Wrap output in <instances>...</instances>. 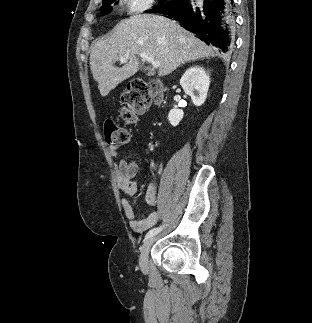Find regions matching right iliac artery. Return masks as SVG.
Returning <instances> with one entry per match:
<instances>
[{"label": "right iliac artery", "instance_id": "obj_1", "mask_svg": "<svg viewBox=\"0 0 312 323\" xmlns=\"http://www.w3.org/2000/svg\"><path fill=\"white\" fill-rule=\"evenodd\" d=\"M162 229H163V227H162V226L151 229V230L146 234L145 239H148V238H150V237H153L154 235H156L157 233H159Z\"/></svg>", "mask_w": 312, "mask_h": 323}]
</instances>
